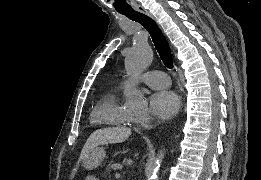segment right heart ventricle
I'll return each instance as SVG.
<instances>
[{"mask_svg":"<svg viewBox=\"0 0 261 180\" xmlns=\"http://www.w3.org/2000/svg\"><path fill=\"white\" fill-rule=\"evenodd\" d=\"M120 113L119 93L117 90H111L96 102L90 121H102V126H91V130L96 131V127H124L119 122Z\"/></svg>","mask_w":261,"mask_h":180,"instance_id":"obj_1","label":"right heart ventricle"}]
</instances>
